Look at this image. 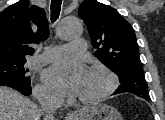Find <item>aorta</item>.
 Returning <instances> with one entry per match:
<instances>
[{
    "label": "aorta",
    "mask_w": 165,
    "mask_h": 120,
    "mask_svg": "<svg viewBox=\"0 0 165 120\" xmlns=\"http://www.w3.org/2000/svg\"><path fill=\"white\" fill-rule=\"evenodd\" d=\"M82 33V23L77 18H68L63 21L59 35L64 39L79 37Z\"/></svg>",
    "instance_id": "1"
}]
</instances>
